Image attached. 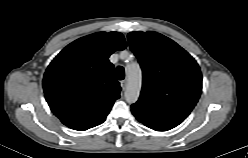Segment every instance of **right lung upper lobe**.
Returning a JSON list of instances; mask_svg holds the SVG:
<instances>
[{"instance_id": "1", "label": "right lung upper lobe", "mask_w": 248, "mask_h": 158, "mask_svg": "<svg viewBox=\"0 0 248 158\" xmlns=\"http://www.w3.org/2000/svg\"><path fill=\"white\" fill-rule=\"evenodd\" d=\"M124 48L120 32H97L70 43L52 60L43 89L64 125L83 131L105 121L121 90L108 58Z\"/></svg>"}]
</instances>
